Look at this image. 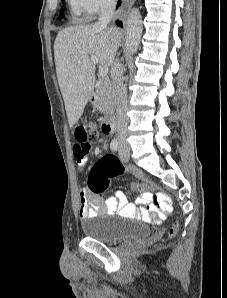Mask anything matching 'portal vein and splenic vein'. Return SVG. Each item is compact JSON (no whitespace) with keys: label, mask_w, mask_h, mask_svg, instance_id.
Wrapping results in <instances>:
<instances>
[{"label":"portal vein and splenic vein","mask_w":227,"mask_h":298,"mask_svg":"<svg viewBox=\"0 0 227 298\" xmlns=\"http://www.w3.org/2000/svg\"><path fill=\"white\" fill-rule=\"evenodd\" d=\"M90 59L94 64H98V58L95 55H90ZM109 69L106 66L99 67V75L102 78H106L108 75Z\"/></svg>","instance_id":"portal-vein-and-splenic-vein-1"}]
</instances>
